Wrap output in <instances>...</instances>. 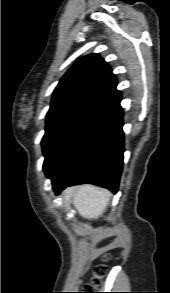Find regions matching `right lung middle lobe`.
Segmentation results:
<instances>
[{
  "mask_svg": "<svg viewBox=\"0 0 170 293\" xmlns=\"http://www.w3.org/2000/svg\"><path fill=\"white\" fill-rule=\"evenodd\" d=\"M111 109L78 106L46 119L42 139L43 169L48 178L57 174L66 161L103 121Z\"/></svg>",
  "mask_w": 170,
  "mask_h": 293,
  "instance_id": "1",
  "label": "right lung middle lobe"
}]
</instances>
